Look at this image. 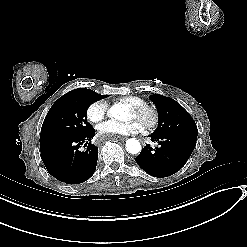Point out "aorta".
<instances>
[{"label":"aorta","mask_w":247,"mask_h":247,"mask_svg":"<svg viewBox=\"0 0 247 247\" xmlns=\"http://www.w3.org/2000/svg\"><path fill=\"white\" fill-rule=\"evenodd\" d=\"M109 115L117 120L126 121L129 116V109L125 104L117 103L110 107ZM126 150L131 154H138L141 151V144L135 138L126 141Z\"/></svg>","instance_id":"obj_1"}]
</instances>
